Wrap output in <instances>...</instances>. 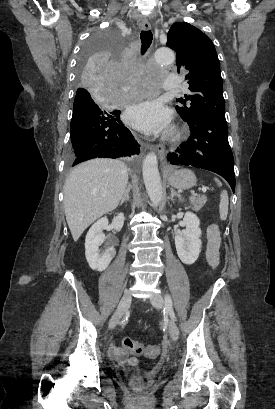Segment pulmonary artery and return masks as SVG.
Segmentation results:
<instances>
[{"label":"pulmonary artery","mask_w":275,"mask_h":409,"mask_svg":"<svg viewBox=\"0 0 275 409\" xmlns=\"http://www.w3.org/2000/svg\"><path fill=\"white\" fill-rule=\"evenodd\" d=\"M164 87L165 88H177L178 87V80L176 79L174 73L167 74V79L164 80ZM129 90H132V87H129Z\"/></svg>","instance_id":"obj_1"}]
</instances>
